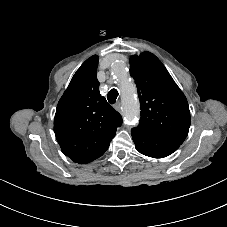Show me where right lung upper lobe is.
Returning a JSON list of instances; mask_svg holds the SVG:
<instances>
[{
	"instance_id": "obj_1",
	"label": "right lung upper lobe",
	"mask_w": 227,
	"mask_h": 227,
	"mask_svg": "<svg viewBox=\"0 0 227 227\" xmlns=\"http://www.w3.org/2000/svg\"><path fill=\"white\" fill-rule=\"evenodd\" d=\"M97 67V55L87 59L74 74L56 108V139L62 152L79 164L102 156L122 124L121 115L100 95Z\"/></svg>"
}]
</instances>
